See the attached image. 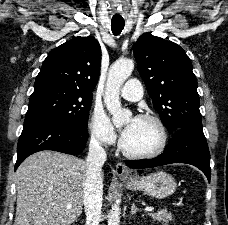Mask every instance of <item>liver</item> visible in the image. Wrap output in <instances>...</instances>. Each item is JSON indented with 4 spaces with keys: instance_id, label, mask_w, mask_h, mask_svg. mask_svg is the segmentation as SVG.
I'll list each match as a JSON object with an SVG mask.
<instances>
[{
    "instance_id": "6515ba94",
    "label": "liver",
    "mask_w": 228,
    "mask_h": 225,
    "mask_svg": "<svg viewBox=\"0 0 228 225\" xmlns=\"http://www.w3.org/2000/svg\"><path fill=\"white\" fill-rule=\"evenodd\" d=\"M87 165L56 151L30 155L18 167L14 225H72L84 205Z\"/></svg>"
}]
</instances>
